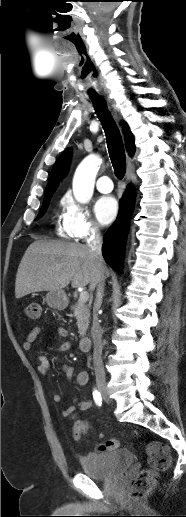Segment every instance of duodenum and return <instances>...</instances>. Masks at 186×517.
<instances>
[{"label":"duodenum","instance_id":"obj_1","mask_svg":"<svg viewBox=\"0 0 186 517\" xmlns=\"http://www.w3.org/2000/svg\"><path fill=\"white\" fill-rule=\"evenodd\" d=\"M92 340L88 336L81 337L79 339V348L83 352H88L91 349Z\"/></svg>","mask_w":186,"mask_h":517}]
</instances>
